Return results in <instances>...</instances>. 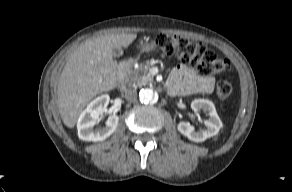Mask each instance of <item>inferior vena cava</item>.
<instances>
[{"instance_id": "inferior-vena-cava-1", "label": "inferior vena cava", "mask_w": 292, "mask_h": 192, "mask_svg": "<svg viewBox=\"0 0 292 192\" xmlns=\"http://www.w3.org/2000/svg\"><path fill=\"white\" fill-rule=\"evenodd\" d=\"M124 97L128 102L137 101V91L133 88H129L124 92Z\"/></svg>"}]
</instances>
